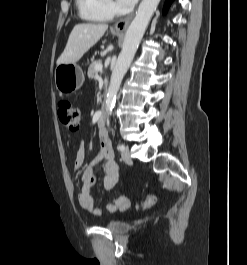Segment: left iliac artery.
<instances>
[{
    "mask_svg": "<svg viewBox=\"0 0 247 265\" xmlns=\"http://www.w3.org/2000/svg\"><path fill=\"white\" fill-rule=\"evenodd\" d=\"M125 148V146L123 144H118L117 145V149L122 151Z\"/></svg>",
    "mask_w": 247,
    "mask_h": 265,
    "instance_id": "1",
    "label": "left iliac artery"
}]
</instances>
